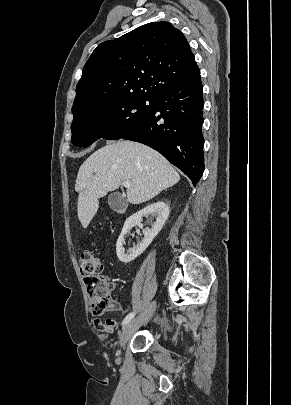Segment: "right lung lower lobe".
Returning a JSON list of instances; mask_svg holds the SVG:
<instances>
[{"mask_svg": "<svg viewBox=\"0 0 291 405\" xmlns=\"http://www.w3.org/2000/svg\"><path fill=\"white\" fill-rule=\"evenodd\" d=\"M203 86L195 78L160 90L145 121L124 135L148 145L182 170L194 186L204 171Z\"/></svg>", "mask_w": 291, "mask_h": 405, "instance_id": "obj_1", "label": "right lung lower lobe"}]
</instances>
